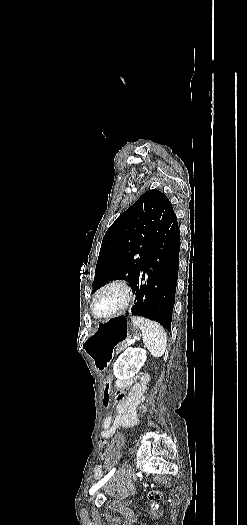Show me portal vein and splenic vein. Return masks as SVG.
Returning <instances> with one entry per match:
<instances>
[{
	"instance_id": "portal-vein-and-splenic-vein-1",
	"label": "portal vein and splenic vein",
	"mask_w": 247,
	"mask_h": 525,
	"mask_svg": "<svg viewBox=\"0 0 247 525\" xmlns=\"http://www.w3.org/2000/svg\"><path fill=\"white\" fill-rule=\"evenodd\" d=\"M130 343H136V340H127L126 346H130Z\"/></svg>"
}]
</instances>
